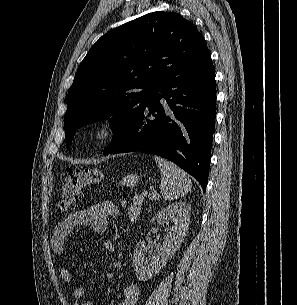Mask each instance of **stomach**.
<instances>
[{"label": "stomach", "mask_w": 297, "mask_h": 305, "mask_svg": "<svg viewBox=\"0 0 297 305\" xmlns=\"http://www.w3.org/2000/svg\"><path fill=\"white\" fill-rule=\"evenodd\" d=\"M141 177H142L141 174L140 175L136 173L128 174L127 176L122 178L121 184L123 186H129V187L136 186Z\"/></svg>", "instance_id": "obj_1"}]
</instances>
